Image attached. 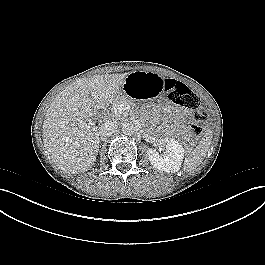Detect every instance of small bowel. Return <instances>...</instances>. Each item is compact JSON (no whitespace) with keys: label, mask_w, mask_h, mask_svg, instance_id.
<instances>
[{"label":"small bowel","mask_w":265,"mask_h":265,"mask_svg":"<svg viewBox=\"0 0 265 265\" xmlns=\"http://www.w3.org/2000/svg\"><path fill=\"white\" fill-rule=\"evenodd\" d=\"M176 113H177V115L180 116V117H183V116H186V115H187V112L184 111V110H182V109H177V110H176Z\"/></svg>","instance_id":"small-bowel-1"}]
</instances>
